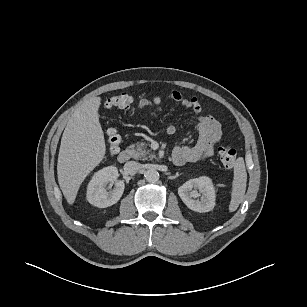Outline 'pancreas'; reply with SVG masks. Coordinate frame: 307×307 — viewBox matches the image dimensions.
Here are the masks:
<instances>
[{
	"label": "pancreas",
	"mask_w": 307,
	"mask_h": 307,
	"mask_svg": "<svg viewBox=\"0 0 307 307\" xmlns=\"http://www.w3.org/2000/svg\"><path fill=\"white\" fill-rule=\"evenodd\" d=\"M147 145L145 143L133 144L129 148L132 151V157L134 159L147 160L148 158L152 160L155 155L151 153L150 150H146ZM149 155V156H147Z\"/></svg>",
	"instance_id": "1"
}]
</instances>
